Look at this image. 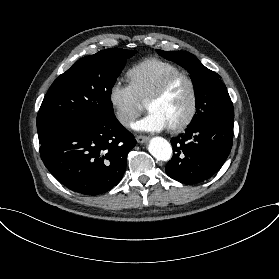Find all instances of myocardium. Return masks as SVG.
Instances as JSON below:
<instances>
[{"mask_svg": "<svg viewBox=\"0 0 279 279\" xmlns=\"http://www.w3.org/2000/svg\"><path fill=\"white\" fill-rule=\"evenodd\" d=\"M185 79L192 91V98H191V105L188 111V114L183 119L182 122L169 126V130L172 132H180L186 129L194 120L197 110H198V102H199V94H198V87L193 79V77L185 72H179L167 77L157 88L156 90L147 98V108L149 109V105L160 98H162L170 89L171 87L176 84L178 81Z\"/></svg>", "mask_w": 279, "mask_h": 279, "instance_id": "obj_1", "label": "myocardium"}]
</instances>
